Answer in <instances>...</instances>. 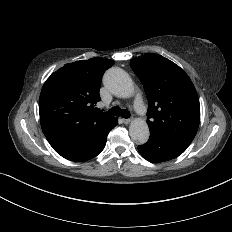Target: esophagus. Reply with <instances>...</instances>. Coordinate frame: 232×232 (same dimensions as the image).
Listing matches in <instances>:
<instances>
[{
  "instance_id": "obj_1",
  "label": "esophagus",
  "mask_w": 232,
  "mask_h": 232,
  "mask_svg": "<svg viewBox=\"0 0 232 232\" xmlns=\"http://www.w3.org/2000/svg\"><path fill=\"white\" fill-rule=\"evenodd\" d=\"M130 121H131V119H123V123H124V124L130 123Z\"/></svg>"
}]
</instances>
